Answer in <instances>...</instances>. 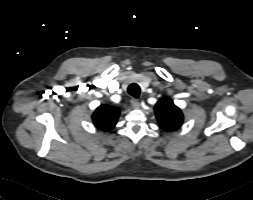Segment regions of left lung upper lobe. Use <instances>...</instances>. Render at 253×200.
Masks as SVG:
<instances>
[{
    "mask_svg": "<svg viewBox=\"0 0 253 200\" xmlns=\"http://www.w3.org/2000/svg\"><path fill=\"white\" fill-rule=\"evenodd\" d=\"M155 112L160 126L166 131L175 130L183 122L181 110L169 98L159 100Z\"/></svg>",
    "mask_w": 253,
    "mask_h": 200,
    "instance_id": "obj_1",
    "label": "left lung upper lobe"
}]
</instances>
